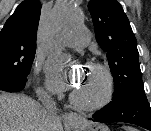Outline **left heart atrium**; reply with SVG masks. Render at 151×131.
<instances>
[{
	"label": "left heart atrium",
	"instance_id": "obj_1",
	"mask_svg": "<svg viewBox=\"0 0 151 131\" xmlns=\"http://www.w3.org/2000/svg\"><path fill=\"white\" fill-rule=\"evenodd\" d=\"M77 75L64 66L60 59L51 62L49 68L50 87L55 91H65L72 89L75 84Z\"/></svg>",
	"mask_w": 151,
	"mask_h": 131
}]
</instances>
